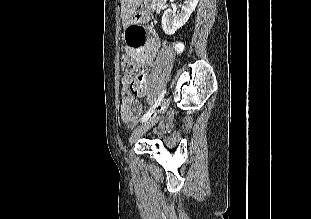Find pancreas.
Masks as SVG:
<instances>
[{
    "label": "pancreas",
    "mask_w": 311,
    "mask_h": 219,
    "mask_svg": "<svg viewBox=\"0 0 311 219\" xmlns=\"http://www.w3.org/2000/svg\"><path fill=\"white\" fill-rule=\"evenodd\" d=\"M152 1H153V4H152L153 9H157V10L161 8L164 2V0H152Z\"/></svg>",
    "instance_id": "obj_1"
}]
</instances>
